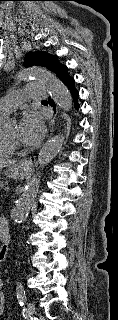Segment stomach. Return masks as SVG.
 I'll return each instance as SVG.
<instances>
[{
	"label": "stomach",
	"instance_id": "stomach-1",
	"mask_svg": "<svg viewBox=\"0 0 118 320\" xmlns=\"http://www.w3.org/2000/svg\"><path fill=\"white\" fill-rule=\"evenodd\" d=\"M30 164L27 161H21L15 164H12L7 167L4 171L6 177L13 179H23L26 177L30 171Z\"/></svg>",
	"mask_w": 118,
	"mask_h": 320
}]
</instances>
